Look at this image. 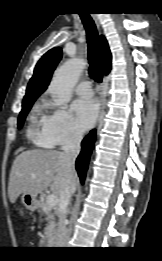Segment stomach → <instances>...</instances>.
Wrapping results in <instances>:
<instances>
[{"mask_svg": "<svg viewBox=\"0 0 162 261\" xmlns=\"http://www.w3.org/2000/svg\"><path fill=\"white\" fill-rule=\"evenodd\" d=\"M21 201L23 203V205L31 211L36 210L39 206H40V202L37 199V196L28 194V193H24L21 197Z\"/></svg>", "mask_w": 162, "mask_h": 261, "instance_id": "obj_1", "label": "stomach"}]
</instances>
